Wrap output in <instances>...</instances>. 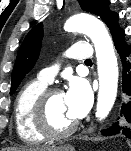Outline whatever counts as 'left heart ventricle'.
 Here are the masks:
<instances>
[{"mask_svg":"<svg viewBox=\"0 0 131 151\" xmlns=\"http://www.w3.org/2000/svg\"><path fill=\"white\" fill-rule=\"evenodd\" d=\"M48 119L50 126L57 131L64 130L75 122L69 115L63 93L51 98L48 105Z\"/></svg>","mask_w":131,"mask_h":151,"instance_id":"1","label":"left heart ventricle"}]
</instances>
